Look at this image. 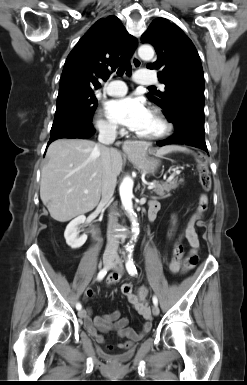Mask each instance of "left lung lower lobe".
Wrapping results in <instances>:
<instances>
[{"label":"left lung lower lobe","mask_w":247,"mask_h":385,"mask_svg":"<svg viewBox=\"0 0 247 385\" xmlns=\"http://www.w3.org/2000/svg\"><path fill=\"white\" fill-rule=\"evenodd\" d=\"M169 121L175 125V133L170 138L157 142L158 146L185 144L207 150L204 135V112L182 109Z\"/></svg>","instance_id":"1"}]
</instances>
